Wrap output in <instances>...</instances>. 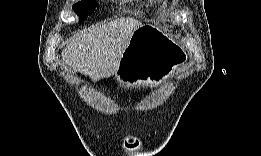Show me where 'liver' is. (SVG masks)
Instances as JSON below:
<instances>
[{
  "label": "liver",
  "instance_id": "1",
  "mask_svg": "<svg viewBox=\"0 0 261 156\" xmlns=\"http://www.w3.org/2000/svg\"><path fill=\"white\" fill-rule=\"evenodd\" d=\"M134 18H119L72 37L62 51L63 62L93 81L116 74L133 32L141 26Z\"/></svg>",
  "mask_w": 261,
  "mask_h": 156
}]
</instances>
